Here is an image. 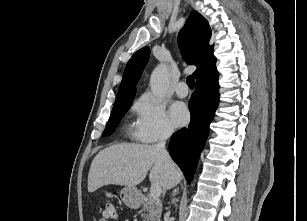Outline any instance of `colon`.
<instances>
[{"instance_id":"obj_1","label":"colon","mask_w":307,"mask_h":221,"mask_svg":"<svg viewBox=\"0 0 307 221\" xmlns=\"http://www.w3.org/2000/svg\"><path fill=\"white\" fill-rule=\"evenodd\" d=\"M116 216L115 205L112 201L104 202L101 209V219L100 221H108L114 219Z\"/></svg>"}]
</instances>
